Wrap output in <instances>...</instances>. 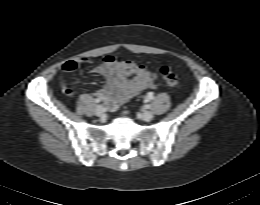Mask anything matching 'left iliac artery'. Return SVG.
<instances>
[{"instance_id":"obj_1","label":"left iliac artery","mask_w":260,"mask_h":205,"mask_svg":"<svg viewBox=\"0 0 260 205\" xmlns=\"http://www.w3.org/2000/svg\"><path fill=\"white\" fill-rule=\"evenodd\" d=\"M152 98H153L152 94H149V95L147 96L146 102H148V101H149L150 99H152ZM145 107H146L147 109H149V108H150V105L147 104Z\"/></svg>"}]
</instances>
